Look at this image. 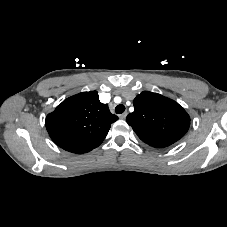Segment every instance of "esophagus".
<instances>
[{"label": "esophagus", "instance_id": "esophagus-1", "mask_svg": "<svg viewBox=\"0 0 227 227\" xmlns=\"http://www.w3.org/2000/svg\"><path fill=\"white\" fill-rule=\"evenodd\" d=\"M126 116H127V112H124V113H122V114L119 115V118L120 119H125Z\"/></svg>", "mask_w": 227, "mask_h": 227}]
</instances>
